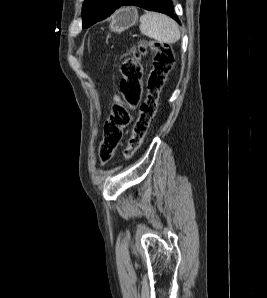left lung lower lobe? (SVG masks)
Masks as SVG:
<instances>
[{"label": "left lung lower lobe", "instance_id": "0a47b994", "mask_svg": "<svg viewBox=\"0 0 267 298\" xmlns=\"http://www.w3.org/2000/svg\"><path fill=\"white\" fill-rule=\"evenodd\" d=\"M124 5H134V6L142 7L146 10L165 13L179 23V20L177 19L176 15H174L173 13V6H172L171 0H115L114 4L106 13H102L100 15L94 16L91 19V21L86 23V26L84 28L90 27L94 23L107 18L116 9Z\"/></svg>", "mask_w": 267, "mask_h": 298}]
</instances>
